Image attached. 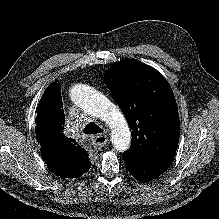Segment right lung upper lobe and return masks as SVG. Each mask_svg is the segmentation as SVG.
Here are the masks:
<instances>
[{"label": "right lung upper lobe", "instance_id": "obj_1", "mask_svg": "<svg viewBox=\"0 0 219 219\" xmlns=\"http://www.w3.org/2000/svg\"><path fill=\"white\" fill-rule=\"evenodd\" d=\"M35 123L37 141L50 172L61 178H76L89 170L91 163L86 150L63 133L64 110L58 81L45 90Z\"/></svg>", "mask_w": 219, "mask_h": 219}]
</instances>
